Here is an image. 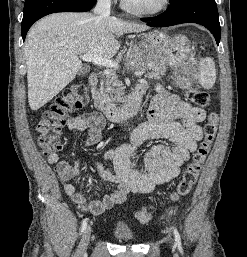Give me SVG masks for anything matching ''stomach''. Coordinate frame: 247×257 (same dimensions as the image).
Masks as SVG:
<instances>
[{
    "label": "stomach",
    "instance_id": "stomach-1",
    "mask_svg": "<svg viewBox=\"0 0 247 257\" xmlns=\"http://www.w3.org/2000/svg\"><path fill=\"white\" fill-rule=\"evenodd\" d=\"M185 37L171 36L167 32L153 31L141 35L136 46L137 56L142 62H158L171 67L181 65L190 55Z\"/></svg>",
    "mask_w": 247,
    "mask_h": 257
}]
</instances>
